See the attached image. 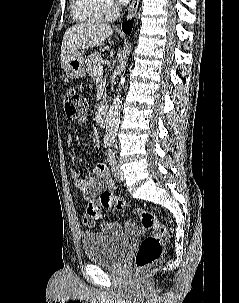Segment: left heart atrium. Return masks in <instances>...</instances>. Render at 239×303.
I'll return each mask as SVG.
<instances>
[{"mask_svg":"<svg viewBox=\"0 0 239 303\" xmlns=\"http://www.w3.org/2000/svg\"><path fill=\"white\" fill-rule=\"evenodd\" d=\"M121 3H127L129 0H119Z\"/></svg>","mask_w":239,"mask_h":303,"instance_id":"1","label":"left heart atrium"}]
</instances>
